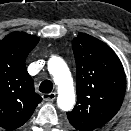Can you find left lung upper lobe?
<instances>
[{
  "mask_svg": "<svg viewBox=\"0 0 131 131\" xmlns=\"http://www.w3.org/2000/svg\"><path fill=\"white\" fill-rule=\"evenodd\" d=\"M72 46L77 69V103L67 116L75 129L93 131L120 109L126 89L125 73L115 52L102 41L78 33Z\"/></svg>",
  "mask_w": 131,
  "mask_h": 131,
  "instance_id": "obj_1",
  "label": "left lung upper lobe"
}]
</instances>
